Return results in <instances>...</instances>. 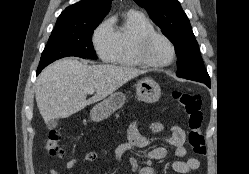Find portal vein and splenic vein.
<instances>
[{
	"mask_svg": "<svg viewBox=\"0 0 249 174\" xmlns=\"http://www.w3.org/2000/svg\"><path fill=\"white\" fill-rule=\"evenodd\" d=\"M89 93H90V94H93V93H94V91H90Z\"/></svg>",
	"mask_w": 249,
	"mask_h": 174,
	"instance_id": "obj_1",
	"label": "portal vein and splenic vein"
}]
</instances>
